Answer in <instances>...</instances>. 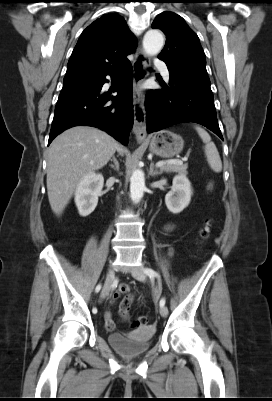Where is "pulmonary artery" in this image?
Listing matches in <instances>:
<instances>
[{
    "mask_svg": "<svg viewBox=\"0 0 272 401\" xmlns=\"http://www.w3.org/2000/svg\"><path fill=\"white\" fill-rule=\"evenodd\" d=\"M155 66L161 69L162 75L164 76L165 79H169V71L166 67V64L164 61L156 59L154 62Z\"/></svg>",
    "mask_w": 272,
    "mask_h": 401,
    "instance_id": "e3ab8cb5",
    "label": "pulmonary artery"
}]
</instances>
